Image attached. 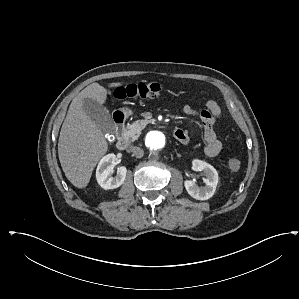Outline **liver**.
<instances>
[{"instance_id": "obj_1", "label": "liver", "mask_w": 299, "mask_h": 299, "mask_svg": "<svg viewBox=\"0 0 299 299\" xmlns=\"http://www.w3.org/2000/svg\"><path fill=\"white\" fill-rule=\"evenodd\" d=\"M108 86L116 88L122 83H110ZM86 98L103 104L107 90L98 83H92L72 100L58 141L61 167L67 179L77 188L88 185L96 164L108 151L102 130L84 111L83 100Z\"/></svg>"}]
</instances>
